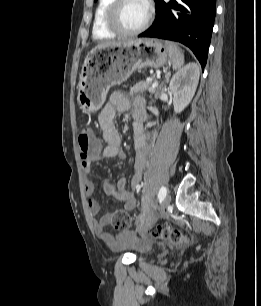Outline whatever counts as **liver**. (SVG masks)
I'll use <instances>...</instances> for the list:
<instances>
[{
    "label": "liver",
    "instance_id": "1",
    "mask_svg": "<svg viewBox=\"0 0 261 306\" xmlns=\"http://www.w3.org/2000/svg\"><path fill=\"white\" fill-rule=\"evenodd\" d=\"M116 44H119V43H115V42H107V43H103L99 46H108V45H116Z\"/></svg>",
    "mask_w": 261,
    "mask_h": 306
}]
</instances>
